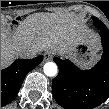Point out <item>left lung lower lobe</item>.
Listing matches in <instances>:
<instances>
[{
  "label": "left lung lower lobe",
  "mask_w": 109,
  "mask_h": 109,
  "mask_svg": "<svg viewBox=\"0 0 109 109\" xmlns=\"http://www.w3.org/2000/svg\"><path fill=\"white\" fill-rule=\"evenodd\" d=\"M103 54L90 70H80L69 60L55 57L59 68L52 93L65 109H93L109 98V31L100 30Z\"/></svg>",
  "instance_id": "0a47b994"
}]
</instances>
